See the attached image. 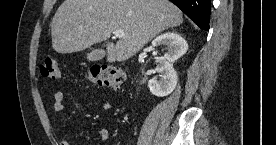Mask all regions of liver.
I'll use <instances>...</instances> for the list:
<instances>
[{
	"label": "liver",
	"instance_id": "1",
	"mask_svg": "<svg viewBox=\"0 0 276 145\" xmlns=\"http://www.w3.org/2000/svg\"><path fill=\"white\" fill-rule=\"evenodd\" d=\"M182 22L181 10L169 0H64L52 18V46L58 53H73L106 42L107 61L121 62ZM116 29L125 37L107 42Z\"/></svg>",
	"mask_w": 276,
	"mask_h": 145
}]
</instances>
